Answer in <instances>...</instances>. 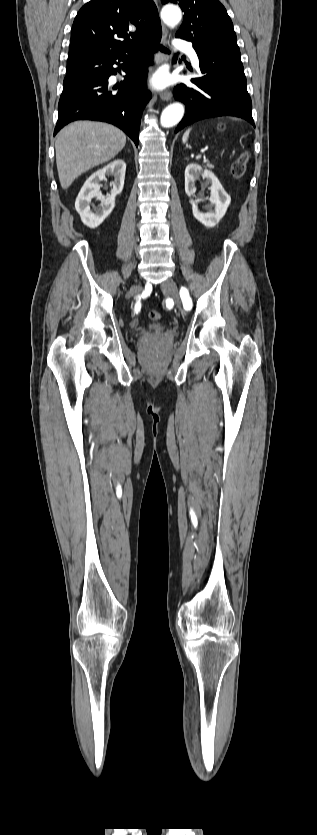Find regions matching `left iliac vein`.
<instances>
[{
  "label": "left iliac vein",
  "instance_id": "4c4485c4",
  "mask_svg": "<svg viewBox=\"0 0 317 835\" xmlns=\"http://www.w3.org/2000/svg\"><path fill=\"white\" fill-rule=\"evenodd\" d=\"M161 288L165 294L171 296L174 299L177 308L181 310L182 305L180 299V292L177 288L175 281L173 279H167L162 283Z\"/></svg>",
  "mask_w": 317,
  "mask_h": 835
}]
</instances>
